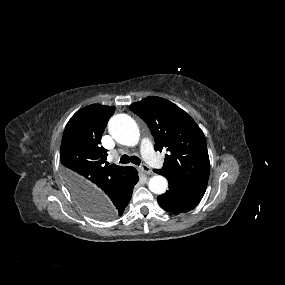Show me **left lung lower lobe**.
<instances>
[{"label":"left lung lower lobe","mask_w":285,"mask_h":285,"mask_svg":"<svg viewBox=\"0 0 285 285\" xmlns=\"http://www.w3.org/2000/svg\"><path fill=\"white\" fill-rule=\"evenodd\" d=\"M154 172L161 174L156 169ZM163 176L169 181V190L165 194L158 196L157 201L163 209L171 213H182L192 210L201 201L206 191V186L185 182L169 175Z\"/></svg>","instance_id":"1"}]
</instances>
